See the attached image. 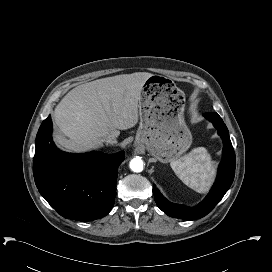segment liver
I'll return each mask as SVG.
<instances>
[{"mask_svg":"<svg viewBox=\"0 0 272 272\" xmlns=\"http://www.w3.org/2000/svg\"><path fill=\"white\" fill-rule=\"evenodd\" d=\"M148 72L98 79L72 89L57 105L54 120L60 133L55 142L68 151L99 148L109 135L138 122V105Z\"/></svg>","mask_w":272,"mask_h":272,"instance_id":"1","label":"liver"}]
</instances>
